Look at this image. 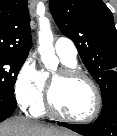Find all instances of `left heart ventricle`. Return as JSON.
<instances>
[{
    "mask_svg": "<svg viewBox=\"0 0 117 136\" xmlns=\"http://www.w3.org/2000/svg\"><path fill=\"white\" fill-rule=\"evenodd\" d=\"M54 101L64 114L74 118L88 117L95 108L94 92L83 79L59 85L54 91Z\"/></svg>",
    "mask_w": 117,
    "mask_h": 136,
    "instance_id": "1",
    "label": "left heart ventricle"
}]
</instances>
